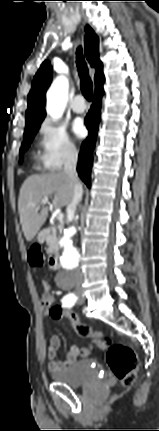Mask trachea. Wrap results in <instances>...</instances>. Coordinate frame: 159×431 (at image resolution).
Listing matches in <instances>:
<instances>
[{"label": "trachea", "instance_id": "3493384b", "mask_svg": "<svg viewBox=\"0 0 159 431\" xmlns=\"http://www.w3.org/2000/svg\"><path fill=\"white\" fill-rule=\"evenodd\" d=\"M76 55H77L76 63L79 71V76L81 79V90L84 97L90 102L92 100L93 84L88 75V68H87V64L85 62L81 47L77 48Z\"/></svg>", "mask_w": 159, "mask_h": 431}]
</instances>
